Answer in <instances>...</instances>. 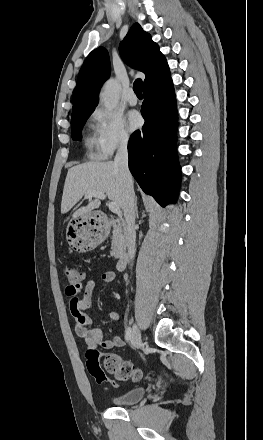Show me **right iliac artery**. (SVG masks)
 <instances>
[{
    "instance_id": "1",
    "label": "right iliac artery",
    "mask_w": 263,
    "mask_h": 440,
    "mask_svg": "<svg viewBox=\"0 0 263 440\" xmlns=\"http://www.w3.org/2000/svg\"><path fill=\"white\" fill-rule=\"evenodd\" d=\"M125 338L127 341H130L132 339V329L131 327H127Z\"/></svg>"
}]
</instances>
